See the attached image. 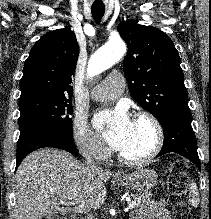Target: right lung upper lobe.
<instances>
[{
    "mask_svg": "<svg viewBox=\"0 0 211 219\" xmlns=\"http://www.w3.org/2000/svg\"><path fill=\"white\" fill-rule=\"evenodd\" d=\"M79 46L68 28L46 33L27 58L20 80V100L34 97L72 98L71 87Z\"/></svg>",
    "mask_w": 211,
    "mask_h": 219,
    "instance_id": "cb5924a9",
    "label": "right lung upper lobe"
}]
</instances>
